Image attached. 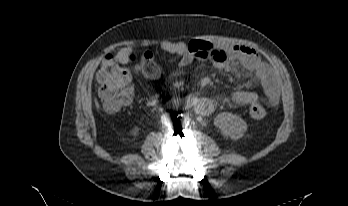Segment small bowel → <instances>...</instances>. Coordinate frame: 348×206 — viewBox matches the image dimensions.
<instances>
[{
	"instance_id": "c3829d8e",
	"label": "small bowel",
	"mask_w": 348,
	"mask_h": 206,
	"mask_svg": "<svg viewBox=\"0 0 348 206\" xmlns=\"http://www.w3.org/2000/svg\"><path fill=\"white\" fill-rule=\"evenodd\" d=\"M159 48L179 56L181 67H187L197 60H204L213 63L219 69L229 70L233 63H239L261 82L272 105H278L280 89L275 72L247 45L216 46L210 42L192 40L189 43L164 42ZM128 54V50L120 52L118 59L122 63H127ZM257 100L258 95L255 92L237 90L231 94L228 103L233 106H245Z\"/></svg>"
}]
</instances>
